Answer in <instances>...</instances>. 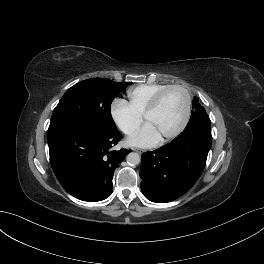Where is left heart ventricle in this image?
Here are the masks:
<instances>
[{
	"label": "left heart ventricle",
	"instance_id": "b2bd125f",
	"mask_svg": "<svg viewBox=\"0 0 264 264\" xmlns=\"http://www.w3.org/2000/svg\"><path fill=\"white\" fill-rule=\"evenodd\" d=\"M185 107V95L174 89L169 91L161 101L159 107L146 119L161 137L173 132L181 123Z\"/></svg>",
	"mask_w": 264,
	"mask_h": 264
}]
</instances>
